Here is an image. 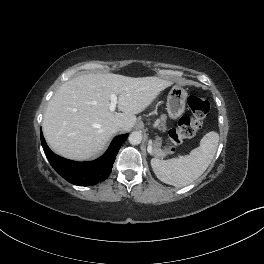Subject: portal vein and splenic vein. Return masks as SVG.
Segmentation results:
<instances>
[{"instance_id":"obj_1","label":"portal vein and splenic vein","mask_w":264,"mask_h":264,"mask_svg":"<svg viewBox=\"0 0 264 264\" xmlns=\"http://www.w3.org/2000/svg\"><path fill=\"white\" fill-rule=\"evenodd\" d=\"M110 105H109V110L110 111H114L116 109V105H117V96L115 94H111L110 95ZM149 151H152V148L149 147L148 148Z\"/></svg>"}]
</instances>
